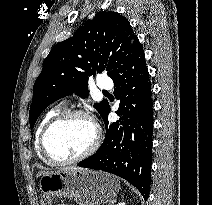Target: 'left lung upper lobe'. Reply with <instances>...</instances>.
Instances as JSON below:
<instances>
[{"instance_id": "left-lung-upper-lobe-1", "label": "left lung upper lobe", "mask_w": 212, "mask_h": 205, "mask_svg": "<svg viewBox=\"0 0 212 205\" xmlns=\"http://www.w3.org/2000/svg\"><path fill=\"white\" fill-rule=\"evenodd\" d=\"M136 38L125 17L117 12H99L73 37L56 44L34 84L30 127L54 101L73 93L87 98L89 76L107 71L112 78ZM108 105L103 100L94 107L102 116Z\"/></svg>"}]
</instances>
